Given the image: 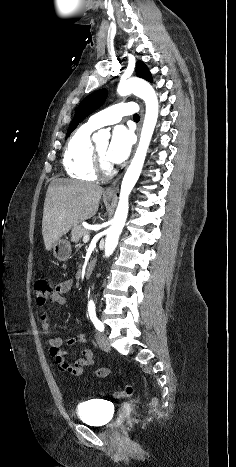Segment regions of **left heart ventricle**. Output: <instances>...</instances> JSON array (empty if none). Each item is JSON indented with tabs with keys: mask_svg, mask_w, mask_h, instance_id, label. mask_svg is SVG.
Wrapping results in <instances>:
<instances>
[{
	"mask_svg": "<svg viewBox=\"0 0 236 467\" xmlns=\"http://www.w3.org/2000/svg\"><path fill=\"white\" fill-rule=\"evenodd\" d=\"M108 146H109L108 142H104V143L98 144L96 147L99 153L109 162V160L107 159Z\"/></svg>",
	"mask_w": 236,
	"mask_h": 467,
	"instance_id": "1",
	"label": "left heart ventricle"
}]
</instances>
